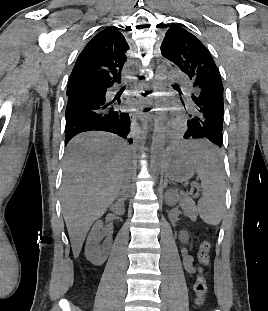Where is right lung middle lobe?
<instances>
[{
	"mask_svg": "<svg viewBox=\"0 0 268 311\" xmlns=\"http://www.w3.org/2000/svg\"><path fill=\"white\" fill-rule=\"evenodd\" d=\"M99 90L100 89L96 85L78 84V85H75L71 88H67V95H69V93L72 91H81L84 93H97V92H99Z\"/></svg>",
	"mask_w": 268,
	"mask_h": 311,
	"instance_id": "1",
	"label": "right lung middle lobe"
}]
</instances>
